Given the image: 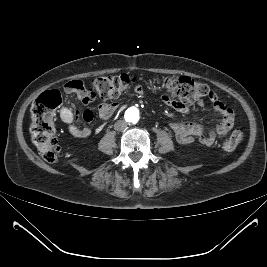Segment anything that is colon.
Returning <instances> with one entry per match:
<instances>
[{
  "label": "colon",
  "instance_id": "colon-1",
  "mask_svg": "<svg viewBox=\"0 0 267 267\" xmlns=\"http://www.w3.org/2000/svg\"><path fill=\"white\" fill-rule=\"evenodd\" d=\"M136 78L130 74L100 76L82 81L90 98H99L106 102L125 95ZM158 89L172 99L183 103H190L205 97H211L212 92L208 86L187 76L159 78L156 81ZM61 102L57 90L42 93L31 107V140L37 148L42 159L47 163H55L59 153V146L55 138V111ZM242 128H236L224 141L222 147L226 151L235 149L243 140Z\"/></svg>",
  "mask_w": 267,
  "mask_h": 267
}]
</instances>
